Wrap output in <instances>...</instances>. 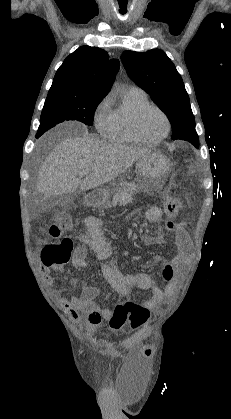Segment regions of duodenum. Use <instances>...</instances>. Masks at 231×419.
<instances>
[{
    "mask_svg": "<svg viewBox=\"0 0 231 419\" xmlns=\"http://www.w3.org/2000/svg\"><path fill=\"white\" fill-rule=\"evenodd\" d=\"M99 196L95 193H90L86 197V203L88 206H94L98 203Z\"/></svg>",
    "mask_w": 231,
    "mask_h": 419,
    "instance_id": "duodenum-1",
    "label": "duodenum"
}]
</instances>
